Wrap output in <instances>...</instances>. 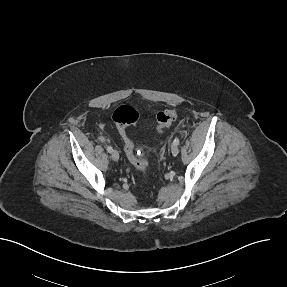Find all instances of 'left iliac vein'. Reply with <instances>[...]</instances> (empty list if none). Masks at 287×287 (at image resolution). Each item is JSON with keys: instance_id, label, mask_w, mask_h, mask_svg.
Returning <instances> with one entry per match:
<instances>
[{"instance_id": "left-iliac-vein-1", "label": "left iliac vein", "mask_w": 287, "mask_h": 287, "mask_svg": "<svg viewBox=\"0 0 287 287\" xmlns=\"http://www.w3.org/2000/svg\"><path fill=\"white\" fill-rule=\"evenodd\" d=\"M171 153L173 156H176L179 153L178 145H176L175 143H172L171 145Z\"/></svg>"}]
</instances>
